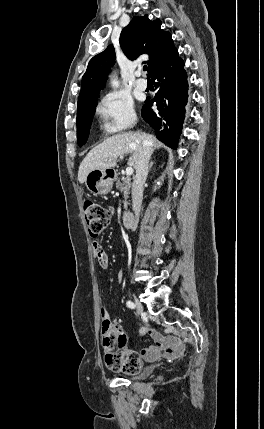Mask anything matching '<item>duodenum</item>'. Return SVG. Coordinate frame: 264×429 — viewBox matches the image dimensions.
Masks as SVG:
<instances>
[{
  "label": "duodenum",
  "mask_w": 264,
  "mask_h": 429,
  "mask_svg": "<svg viewBox=\"0 0 264 429\" xmlns=\"http://www.w3.org/2000/svg\"><path fill=\"white\" fill-rule=\"evenodd\" d=\"M134 218L135 217H134L133 213H131L129 211L124 212L122 215V221H123L124 226L128 227V228L132 227L135 224L134 220H133Z\"/></svg>",
  "instance_id": "duodenum-1"
}]
</instances>
